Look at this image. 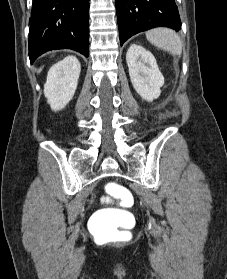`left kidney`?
<instances>
[{
	"label": "left kidney",
	"instance_id": "1",
	"mask_svg": "<svg viewBox=\"0 0 227 279\" xmlns=\"http://www.w3.org/2000/svg\"><path fill=\"white\" fill-rule=\"evenodd\" d=\"M126 62L136 92L148 102L157 99L164 85V77L152 53L140 45L132 44L127 51Z\"/></svg>",
	"mask_w": 227,
	"mask_h": 279
}]
</instances>
